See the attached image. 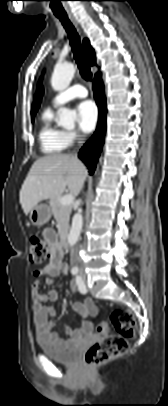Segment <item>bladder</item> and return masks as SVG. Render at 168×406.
Instances as JSON below:
<instances>
[{
    "mask_svg": "<svg viewBox=\"0 0 168 406\" xmlns=\"http://www.w3.org/2000/svg\"><path fill=\"white\" fill-rule=\"evenodd\" d=\"M37 343L46 356L65 365L75 364L80 357L81 346L58 347L40 335L37 336Z\"/></svg>",
    "mask_w": 168,
    "mask_h": 406,
    "instance_id": "1",
    "label": "bladder"
}]
</instances>
